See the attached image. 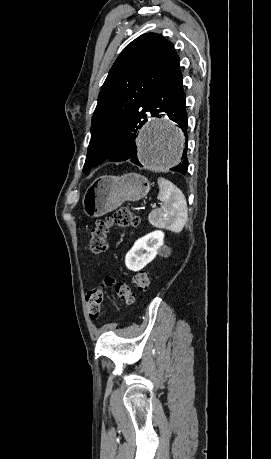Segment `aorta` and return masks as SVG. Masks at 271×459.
Segmentation results:
<instances>
[{
  "instance_id": "obj_1",
  "label": "aorta",
  "mask_w": 271,
  "mask_h": 459,
  "mask_svg": "<svg viewBox=\"0 0 271 459\" xmlns=\"http://www.w3.org/2000/svg\"><path fill=\"white\" fill-rule=\"evenodd\" d=\"M183 135L167 119H153L138 138V159L153 170H167L178 164L183 151Z\"/></svg>"
}]
</instances>
